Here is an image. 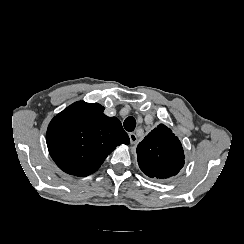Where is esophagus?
Returning a JSON list of instances; mask_svg holds the SVG:
<instances>
[{
  "instance_id": "obj_1",
  "label": "esophagus",
  "mask_w": 244,
  "mask_h": 244,
  "mask_svg": "<svg viewBox=\"0 0 244 244\" xmlns=\"http://www.w3.org/2000/svg\"><path fill=\"white\" fill-rule=\"evenodd\" d=\"M129 138H130L131 144H135L138 140V138L134 132L129 133Z\"/></svg>"
}]
</instances>
